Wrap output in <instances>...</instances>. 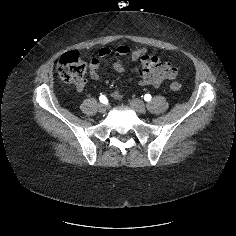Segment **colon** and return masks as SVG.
<instances>
[{
	"label": "colon",
	"mask_w": 236,
	"mask_h": 236,
	"mask_svg": "<svg viewBox=\"0 0 236 236\" xmlns=\"http://www.w3.org/2000/svg\"><path fill=\"white\" fill-rule=\"evenodd\" d=\"M57 71L65 82L80 86L85 82L87 64L80 58L78 52L69 51L58 60ZM170 88L173 91H178L181 89V84L174 82Z\"/></svg>",
	"instance_id": "obj_1"
}]
</instances>
